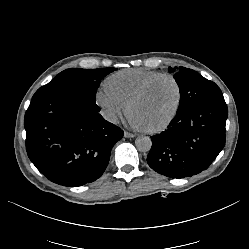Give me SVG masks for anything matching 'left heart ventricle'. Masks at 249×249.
I'll list each match as a JSON object with an SVG mask.
<instances>
[{"label": "left heart ventricle", "mask_w": 249, "mask_h": 249, "mask_svg": "<svg viewBox=\"0 0 249 249\" xmlns=\"http://www.w3.org/2000/svg\"><path fill=\"white\" fill-rule=\"evenodd\" d=\"M177 100L175 84L165 78L157 81L130 110L137 113L146 129H150L160 125L173 113Z\"/></svg>", "instance_id": "left-heart-ventricle-1"}]
</instances>
